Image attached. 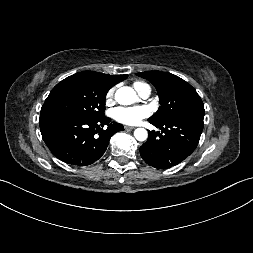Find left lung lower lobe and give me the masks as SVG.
Here are the masks:
<instances>
[{"mask_svg":"<svg viewBox=\"0 0 253 253\" xmlns=\"http://www.w3.org/2000/svg\"><path fill=\"white\" fill-rule=\"evenodd\" d=\"M204 113L192 112L165 123L148 120L161 133L149 131V139L140 147L141 157L148 165L159 169L182 162L198 145L204 126Z\"/></svg>","mask_w":253,"mask_h":253,"instance_id":"1","label":"left lung lower lobe"}]
</instances>
